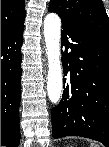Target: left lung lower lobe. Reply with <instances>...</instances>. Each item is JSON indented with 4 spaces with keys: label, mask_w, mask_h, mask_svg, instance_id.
<instances>
[{
    "label": "left lung lower lobe",
    "mask_w": 109,
    "mask_h": 147,
    "mask_svg": "<svg viewBox=\"0 0 109 147\" xmlns=\"http://www.w3.org/2000/svg\"><path fill=\"white\" fill-rule=\"evenodd\" d=\"M63 46L64 76L77 74L80 88L64 79L62 100L52 109V136H81L109 147V40L62 20Z\"/></svg>",
    "instance_id": "1"
}]
</instances>
